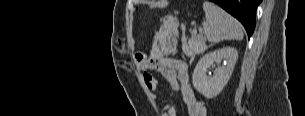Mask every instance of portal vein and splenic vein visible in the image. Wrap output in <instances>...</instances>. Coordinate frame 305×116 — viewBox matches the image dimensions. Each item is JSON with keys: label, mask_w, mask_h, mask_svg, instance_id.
Masks as SVG:
<instances>
[{"label": "portal vein and splenic vein", "mask_w": 305, "mask_h": 116, "mask_svg": "<svg viewBox=\"0 0 305 116\" xmlns=\"http://www.w3.org/2000/svg\"><path fill=\"white\" fill-rule=\"evenodd\" d=\"M206 25V23H203V27ZM192 33H196V30H193Z\"/></svg>", "instance_id": "1"}]
</instances>
